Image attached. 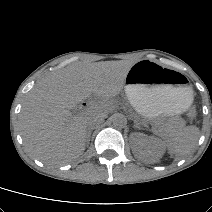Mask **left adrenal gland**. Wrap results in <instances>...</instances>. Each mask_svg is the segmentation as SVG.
<instances>
[{
  "label": "left adrenal gland",
  "mask_w": 212,
  "mask_h": 212,
  "mask_svg": "<svg viewBox=\"0 0 212 212\" xmlns=\"http://www.w3.org/2000/svg\"><path fill=\"white\" fill-rule=\"evenodd\" d=\"M134 128H138V129H139L138 123H136V124L134 125Z\"/></svg>",
  "instance_id": "a2214340"
}]
</instances>
